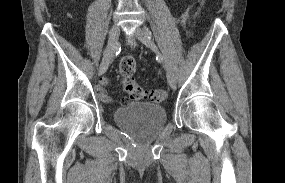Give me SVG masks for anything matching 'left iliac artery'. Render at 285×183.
Returning a JSON list of instances; mask_svg holds the SVG:
<instances>
[{
  "label": "left iliac artery",
  "instance_id": "obj_1",
  "mask_svg": "<svg viewBox=\"0 0 285 183\" xmlns=\"http://www.w3.org/2000/svg\"><path fill=\"white\" fill-rule=\"evenodd\" d=\"M144 30H145V32H146L149 36H151V32L148 30V28L144 27ZM159 58L161 59L160 56H159Z\"/></svg>",
  "mask_w": 285,
  "mask_h": 183
}]
</instances>
